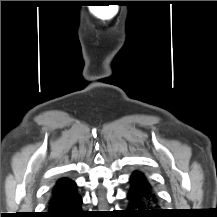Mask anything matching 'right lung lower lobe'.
Masks as SVG:
<instances>
[{"mask_svg": "<svg viewBox=\"0 0 217 217\" xmlns=\"http://www.w3.org/2000/svg\"><path fill=\"white\" fill-rule=\"evenodd\" d=\"M82 198L77 192V187L52 195L47 205V212L40 217H87L81 210Z\"/></svg>", "mask_w": 217, "mask_h": 217, "instance_id": "obj_1", "label": "right lung lower lobe"}]
</instances>
